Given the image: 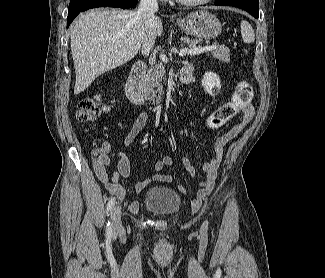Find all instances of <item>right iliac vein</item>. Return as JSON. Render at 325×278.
<instances>
[{
  "label": "right iliac vein",
  "instance_id": "obj_1",
  "mask_svg": "<svg viewBox=\"0 0 325 278\" xmlns=\"http://www.w3.org/2000/svg\"><path fill=\"white\" fill-rule=\"evenodd\" d=\"M111 221L114 233H119L122 230L121 210L115 206L111 211Z\"/></svg>",
  "mask_w": 325,
  "mask_h": 278
}]
</instances>
